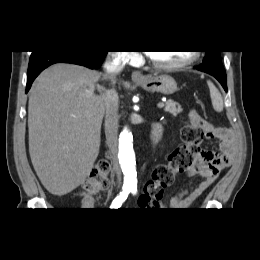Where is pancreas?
Returning a JSON list of instances; mask_svg holds the SVG:
<instances>
[{"label":"pancreas","instance_id":"pancreas-1","mask_svg":"<svg viewBox=\"0 0 260 260\" xmlns=\"http://www.w3.org/2000/svg\"><path fill=\"white\" fill-rule=\"evenodd\" d=\"M164 111L172 114L173 116H177L179 113L182 112V108L180 105H178L174 101L169 100V101L165 102Z\"/></svg>","mask_w":260,"mask_h":260}]
</instances>
